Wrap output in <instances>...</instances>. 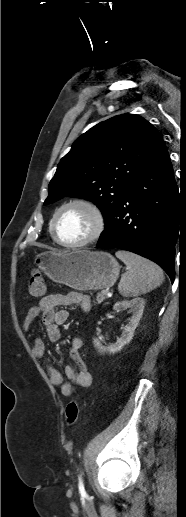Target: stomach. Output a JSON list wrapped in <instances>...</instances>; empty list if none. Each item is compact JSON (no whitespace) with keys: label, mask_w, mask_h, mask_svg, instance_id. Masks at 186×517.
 <instances>
[{"label":"stomach","mask_w":186,"mask_h":517,"mask_svg":"<svg viewBox=\"0 0 186 517\" xmlns=\"http://www.w3.org/2000/svg\"><path fill=\"white\" fill-rule=\"evenodd\" d=\"M35 263L52 281L78 291L109 288L120 271L116 259L102 251H47L37 255Z\"/></svg>","instance_id":"0dacf381"}]
</instances>
